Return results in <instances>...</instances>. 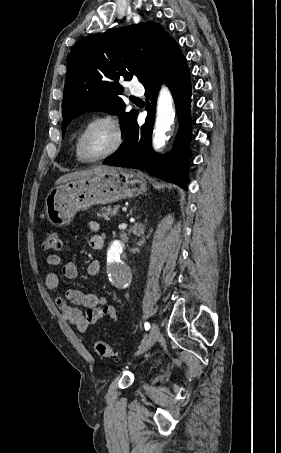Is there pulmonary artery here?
Instances as JSON below:
<instances>
[{
	"label": "pulmonary artery",
	"mask_w": 281,
	"mask_h": 453,
	"mask_svg": "<svg viewBox=\"0 0 281 453\" xmlns=\"http://www.w3.org/2000/svg\"><path fill=\"white\" fill-rule=\"evenodd\" d=\"M133 94H136V95H142V92L141 91H131Z\"/></svg>",
	"instance_id": "pulmonary-artery-1"
}]
</instances>
